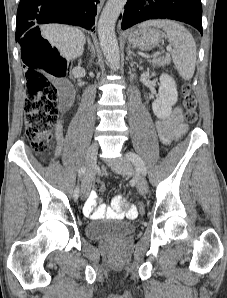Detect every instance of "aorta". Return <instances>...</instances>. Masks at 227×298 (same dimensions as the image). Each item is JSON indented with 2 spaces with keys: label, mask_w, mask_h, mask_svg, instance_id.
Here are the masks:
<instances>
[{
  "label": "aorta",
  "mask_w": 227,
  "mask_h": 298,
  "mask_svg": "<svg viewBox=\"0 0 227 298\" xmlns=\"http://www.w3.org/2000/svg\"><path fill=\"white\" fill-rule=\"evenodd\" d=\"M126 2L127 0H108L98 21L100 46L113 70H118L120 64L115 24Z\"/></svg>",
  "instance_id": "aorta-1"
}]
</instances>
